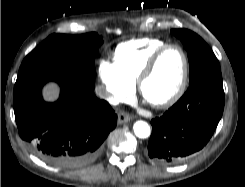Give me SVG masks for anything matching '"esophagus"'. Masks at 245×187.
Listing matches in <instances>:
<instances>
[{
	"label": "esophagus",
	"mask_w": 245,
	"mask_h": 187,
	"mask_svg": "<svg viewBox=\"0 0 245 187\" xmlns=\"http://www.w3.org/2000/svg\"><path fill=\"white\" fill-rule=\"evenodd\" d=\"M131 120H132V116L127 114V113H125V112H120L118 114V123L119 124L127 123V122H129Z\"/></svg>",
	"instance_id": "34e87169"
}]
</instances>
